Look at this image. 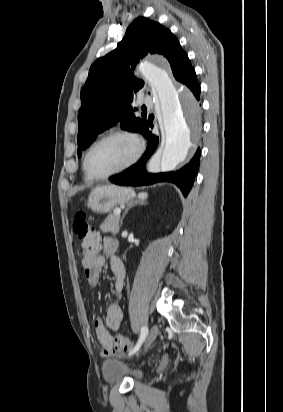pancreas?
<instances>
[{
  "instance_id": "obj_1",
  "label": "pancreas",
  "mask_w": 283,
  "mask_h": 412,
  "mask_svg": "<svg viewBox=\"0 0 283 412\" xmlns=\"http://www.w3.org/2000/svg\"><path fill=\"white\" fill-rule=\"evenodd\" d=\"M119 220L120 215L116 214L115 211L104 220L100 225V230L103 233L111 232L113 234H118L119 232Z\"/></svg>"
}]
</instances>
